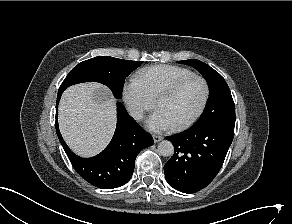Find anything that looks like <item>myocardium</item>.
<instances>
[{"mask_svg":"<svg viewBox=\"0 0 292 224\" xmlns=\"http://www.w3.org/2000/svg\"><path fill=\"white\" fill-rule=\"evenodd\" d=\"M192 80H198L202 83L203 87H204V96H203V100L202 103L200 105V107L198 108V110L195 112V114L188 119L187 121L173 126V130L174 131H183L187 128H189L190 126H192L204 113L208 102H209V98H210V87L209 84L207 82V80L201 76V75H197V74H192L189 76H186L184 78L179 79L178 81L174 82L173 84H171L170 86L166 87L164 90H162L158 96L155 99V107H158V104L162 101L165 100L167 98L172 97L173 95H175L182 87H184L187 83H189Z\"/></svg>","mask_w":292,"mask_h":224,"instance_id":"myocardium-1","label":"myocardium"}]
</instances>
